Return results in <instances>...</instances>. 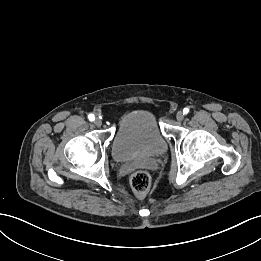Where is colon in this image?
Listing matches in <instances>:
<instances>
[{"label": "colon", "mask_w": 261, "mask_h": 261, "mask_svg": "<svg viewBox=\"0 0 261 261\" xmlns=\"http://www.w3.org/2000/svg\"><path fill=\"white\" fill-rule=\"evenodd\" d=\"M150 175L144 170L135 171L130 178V184L134 193L138 196L147 194L150 188Z\"/></svg>", "instance_id": "obj_1"}]
</instances>
